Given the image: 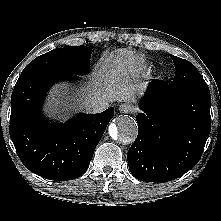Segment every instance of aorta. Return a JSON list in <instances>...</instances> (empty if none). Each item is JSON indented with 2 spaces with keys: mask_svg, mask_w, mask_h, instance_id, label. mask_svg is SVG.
Instances as JSON below:
<instances>
[{
  "mask_svg": "<svg viewBox=\"0 0 221 221\" xmlns=\"http://www.w3.org/2000/svg\"><path fill=\"white\" fill-rule=\"evenodd\" d=\"M138 134V125L133 117L119 116L109 125V135L114 141L121 143H131Z\"/></svg>",
  "mask_w": 221,
  "mask_h": 221,
  "instance_id": "762f6f07",
  "label": "aorta"
}]
</instances>
